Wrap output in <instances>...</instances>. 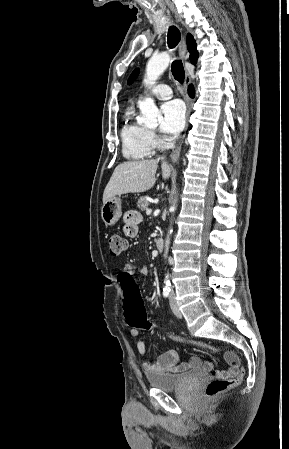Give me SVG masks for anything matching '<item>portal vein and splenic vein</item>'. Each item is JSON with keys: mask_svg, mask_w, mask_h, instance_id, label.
Instances as JSON below:
<instances>
[{"mask_svg": "<svg viewBox=\"0 0 289 449\" xmlns=\"http://www.w3.org/2000/svg\"><path fill=\"white\" fill-rule=\"evenodd\" d=\"M151 213H152V210H151V209H147V210H146V214H147V215H150Z\"/></svg>", "mask_w": 289, "mask_h": 449, "instance_id": "1", "label": "portal vein and splenic vein"}]
</instances>
